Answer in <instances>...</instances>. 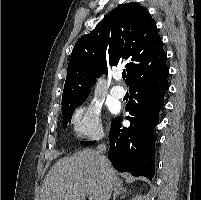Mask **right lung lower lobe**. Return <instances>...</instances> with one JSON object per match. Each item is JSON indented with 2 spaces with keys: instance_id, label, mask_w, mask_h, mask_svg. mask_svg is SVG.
I'll list each match as a JSON object with an SVG mask.
<instances>
[{
  "instance_id": "obj_1",
  "label": "right lung lower lobe",
  "mask_w": 201,
  "mask_h": 200,
  "mask_svg": "<svg viewBox=\"0 0 201 200\" xmlns=\"http://www.w3.org/2000/svg\"><path fill=\"white\" fill-rule=\"evenodd\" d=\"M169 69L137 80L129 87L130 100L126 117L130 127L122 128L121 117L112 121L109 132V160L119 172H130L133 176H144L152 180L155 172L154 127L159 121L158 113L164 104V95L169 86ZM95 141H83L92 145Z\"/></svg>"
}]
</instances>
